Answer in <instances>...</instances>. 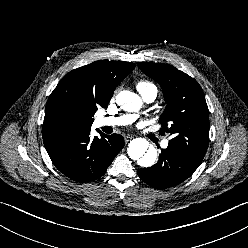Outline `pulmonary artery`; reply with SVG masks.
Returning a JSON list of instances; mask_svg holds the SVG:
<instances>
[{
    "mask_svg": "<svg viewBox=\"0 0 248 248\" xmlns=\"http://www.w3.org/2000/svg\"><path fill=\"white\" fill-rule=\"evenodd\" d=\"M140 94L146 103H152L157 97V88L155 86L151 87ZM135 118L136 115H124L119 117H99L96 119V125L98 127L126 125L133 122ZM168 144V140H164L161 145L163 148H167Z\"/></svg>",
    "mask_w": 248,
    "mask_h": 248,
    "instance_id": "obj_1",
    "label": "pulmonary artery"
}]
</instances>
